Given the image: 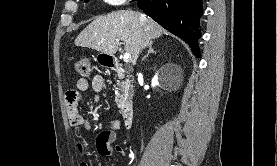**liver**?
Listing matches in <instances>:
<instances>
[{
  "label": "liver",
  "mask_w": 277,
  "mask_h": 166,
  "mask_svg": "<svg viewBox=\"0 0 277 166\" xmlns=\"http://www.w3.org/2000/svg\"><path fill=\"white\" fill-rule=\"evenodd\" d=\"M131 10H120L99 16L92 21L75 39V45L113 56L118 48L119 39L124 42L125 50L136 64L143 45H151L152 40L165 34V30L153 19Z\"/></svg>",
  "instance_id": "liver-1"
}]
</instances>
